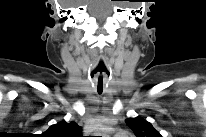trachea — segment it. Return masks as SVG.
<instances>
[{"mask_svg": "<svg viewBox=\"0 0 206 137\" xmlns=\"http://www.w3.org/2000/svg\"><path fill=\"white\" fill-rule=\"evenodd\" d=\"M100 72V75L97 78V84H98V93L101 94L103 91V75L102 72H105V66L103 62H100L98 67L95 70V73ZM93 77V75H92Z\"/></svg>", "mask_w": 206, "mask_h": 137, "instance_id": "obj_1", "label": "trachea"}]
</instances>
